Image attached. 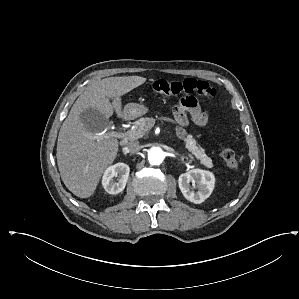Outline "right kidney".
<instances>
[{"label": "right kidney", "instance_id": "1", "mask_svg": "<svg viewBox=\"0 0 299 299\" xmlns=\"http://www.w3.org/2000/svg\"><path fill=\"white\" fill-rule=\"evenodd\" d=\"M130 168L125 163H117L108 167L103 175L102 185L109 194H118L126 186ZM114 177H118L114 180Z\"/></svg>", "mask_w": 299, "mask_h": 299}]
</instances>
